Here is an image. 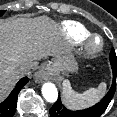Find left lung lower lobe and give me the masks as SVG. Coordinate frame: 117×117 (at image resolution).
I'll list each match as a JSON object with an SVG mask.
<instances>
[{"label":"left lung lower lobe","mask_w":117,"mask_h":117,"mask_svg":"<svg viewBox=\"0 0 117 117\" xmlns=\"http://www.w3.org/2000/svg\"><path fill=\"white\" fill-rule=\"evenodd\" d=\"M113 71V82L110 90L105 97L94 106L78 111H70L61 103L60 97L57 102L51 107V117H100L108 107L116 90L117 63L111 64Z\"/></svg>","instance_id":"obj_1"}]
</instances>
